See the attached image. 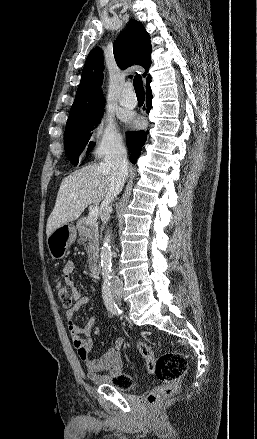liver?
I'll list each match as a JSON object with an SVG mask.
<instances>
[{
    "mask_svg": "<svg viewBox=\"0 0 257 439\" xmlns=\"http://www.w3.org/2000/svg\"><path fill=\"white\" fill-rule=\"evenodd\" d=\"M111 167L105 162L87 165L63 179L56 203L47 220L46 234L80 217L91 203H99L111 185Z\"/></svg>",
    "mask_w": 257,
    "mask_h": 439,
    "instance_id": "6515ba94",
    "label": "liver"
}]
</instances>
